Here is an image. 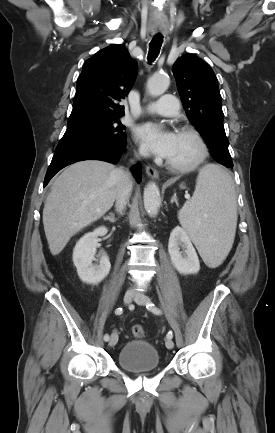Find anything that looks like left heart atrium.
Returning <instances> with one entry per match:
<instances>
[{"label":"left heart atrium","instance_id":"left-heart-atrium-1","mask_svg":"<svg viewBox=\"0 0 275 433\" xmlns=\"http://www.w3.org/2000/svg\"><path fill=\"white\" fill-rule=\"evenodd\" d=\"M136 137L151 153L167 158L172 152L176 134L156 123H145L136 128Z\"/></svg>","mask_w":275,"mask_h":433}]
</instances>
